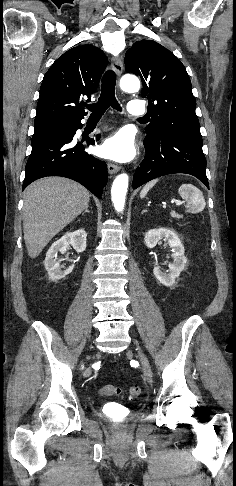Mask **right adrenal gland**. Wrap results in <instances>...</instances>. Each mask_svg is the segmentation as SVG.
I'll use <instances>...</instances> for the list:
<instances>
[{
  "instance_id": "obj_1",
  "label": "right adrenal gland",
  "mask_w": 236,
  "mask_h": 486,
  "mask_svg": "<svg viewBox=\"0 0 236 486\" xmlns=\"http://www.w3.org/2000/svg\"><path fill=\"white\" fill-rule=\"evenodd\" d=\"M85 213H90L88 207L85 209V211L82 214L84 215Z\"/></svg>"
}]
</instances>
